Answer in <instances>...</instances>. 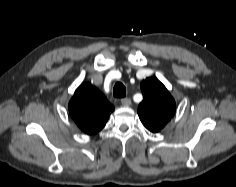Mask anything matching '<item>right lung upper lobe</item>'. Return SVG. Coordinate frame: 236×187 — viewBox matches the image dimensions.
I'll use <instances>...</instances> for the list:
<instances>
[{
    "label": "right lung upper lobe",
    "instance_id": "cb5924a9",
    "mask_svg": "<svg viewBox=\"0 0 236 187\" xmlns=\"http://www.w3.org/2000/svg\"><path fill=\"white\" fill-rule=\"evenodd\" d=\"M68 107L75 123L88 135L100 131L114 111V106L106 97L89 83L76 89Z\"/></svg>",
    "mask_w": 236,
    "mask_h": 187
}]
</instances>
